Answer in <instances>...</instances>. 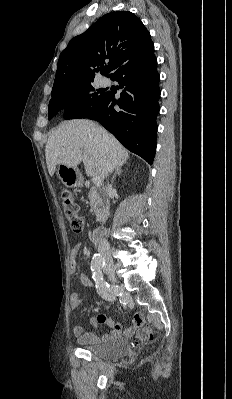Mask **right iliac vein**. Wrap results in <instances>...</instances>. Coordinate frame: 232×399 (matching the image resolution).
Here are the masks:
<instances>
[{"label":"right iliac vein","mask_w":232,"mask_h":399,"mask_svg":"<svg viewBox=\"0 0 232 399\" xmlns=\"http://www.w3.org/2000/svg\"><path fill=\"white\" fill-rule=\"evenodd\" d=\"M103 272L107 273V277H109L110 282L113 285L117 284V279L114 276V265L113 261H106V265L103 266Z\"/></svg>","instance_id":"obj_1"}]
</instances>
